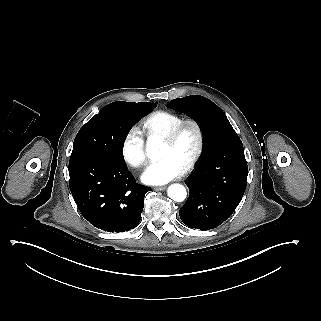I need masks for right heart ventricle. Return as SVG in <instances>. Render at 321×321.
I'll list each match as a JSON object with an SVG mask.
<instances>
[{"label":"right heart ventricle","instance_id":"1","mask_svg":"<svg viewBox=\"0 0 321 321\" xmlns=\"http://www.w3.org/2000/svg\"><path fill=\"white\" fill-rule=\"evenodd\" d=\"M183 120H185V118L179 114L166 110H157L146 117L144 126L147 133L151 136L156 135L162 137Z\"/></svg>","mask_w":321,"mask_h":321}]
</instances>
